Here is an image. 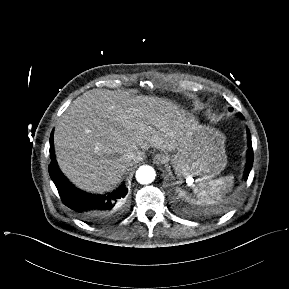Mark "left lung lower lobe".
I'll use <instances>...</instances> for the list:
<instances>
[{
	"instance_id": "0a47b994",
	"label": "left lung lower lobe",
	"mask_w": 289,
	"mask_h": 289,
	"mask_svg": "<svg viewBox=\"0 0 289 289\" xmlns=\"http://www.w3.org/2000/svg\"><path fill=\"white\" fill-rule=\"evenodd\" d=\"M248 131V160H247V164H246V169H245V174L244 177L247 179L250 170L252 168V164H253V149H252V143H251V135L249 130Z\"/></svg>"
}]
</instances>
